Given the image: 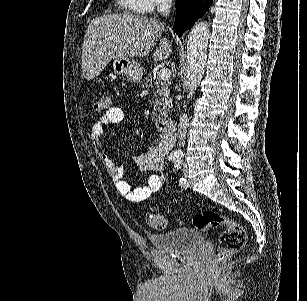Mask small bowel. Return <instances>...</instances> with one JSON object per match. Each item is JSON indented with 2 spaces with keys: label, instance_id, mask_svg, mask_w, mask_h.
<instances>
[{
  "label": "small bowel",
  "instance_id": "c3829d8e",
  "mask_svg": "<svg viewBox=\"0 0 307 301\" xmlns=\"http://www.w3.org/2000/svg\"><path fill=\"white\" fill-rule=\"evenodd\" d=\"M124 119V111L120 107H111L102 115L97 122L92 125L91 138L100 148H103L102 138L104 128L107 125L119 124ZM163 138L158 144L148 151L135 156L134 160L140 170L152 171L147 184L137 188H132L123 179V169L107 153L101 154V161L107 172L113 179L117 191L132 202H142L148 199L153 193L163 189L166 183V176L163 170L164 157L169 150L170 143Z\"/></svg>",
  "mask_w": 307,
  "mask_h": 301
}]
</instances>
